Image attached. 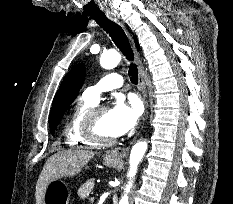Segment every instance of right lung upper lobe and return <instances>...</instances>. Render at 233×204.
<instances>
[{
    "instance_id": "cb5924a9",
    "label": "right lung upper lobe",
    "mask_w": 233,
    "mask_h": 204,
    "mask_svg": "<svg viewBox=\"0 0 233 204\" xmlns=\"http://www.w3.org/2000/svg\"><path fill=\"white\" fill-rule=\"evenodd\" d=\"M135 43H136L137 49H139V45H138L137 39H135Z\"/></svg>"
}]
</instances>
